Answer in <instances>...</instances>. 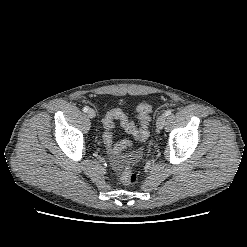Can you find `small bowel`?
I'll return each mask as SVG.
<instances>
[{
    "instance_id": "c3829d8e",
    "label": "small bowel",
    "mask_w": 247,
    "mask_h": 247,
    "mask_svg": "<svg viewBox=\"0 0 247 247\" xmlns=\"http://www.w3.org/2000/svg\"><path fill=\"white\" fill-rule=\"evenodd\" d=\"M111 162L115 171L119 172L122 169L123 160L120 155H112Z\"/></svg>"
}]
</instances>
